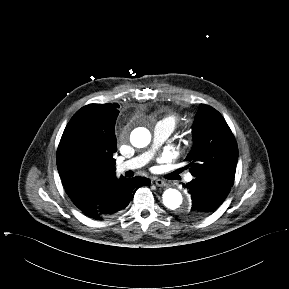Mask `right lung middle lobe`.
<instances>
[{
	"mask_svg": "<svg viewBox=\"0 0 289 289\" xmlns=\"http://www.w3.org/2000/svg\"><path fill=\"white\" fill-rule=\"evenodd\" d=\"M119 105L89 104L75 113L65 133L71 150L81 154L103 155L117 147L115 121Z\"/></svg>",
	"mask_w": 289,
	"mask_h": 289,
	"instance_id": "dd1d6c3e",
	"label": "right lung middle lobe"
}]
</instances>
